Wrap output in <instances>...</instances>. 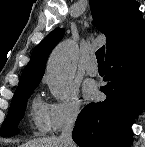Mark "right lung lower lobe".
<instances>
[{
    "instance_id": "obj_1",
    "label": "right lung lower lobe",
    "mask_w": 145,
    "mask_h": 147,
    "mask_svg": "<svg viewBox=\"0 0 145 147\" xmlns=\"http://www.w3.org/2000/svg\"><path fill=\"white\" fill-rule=\"evenodd\" d=\"M102 102L78 115L72 138L80 147H129L131 125L145 109V23L106 55Z\"/></svg>"
}]
</instances>
